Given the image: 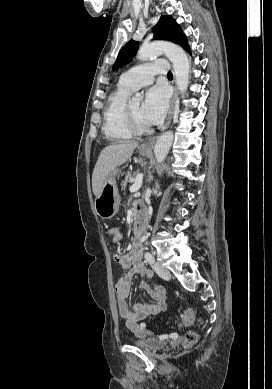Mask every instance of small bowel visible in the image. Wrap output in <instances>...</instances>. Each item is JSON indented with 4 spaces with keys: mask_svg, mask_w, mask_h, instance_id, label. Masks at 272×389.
<instances>
[{
    "mask_svg": "<svg viewBox=\"0 0 272 389\" xmlns=\"http://www.w3.org/2000/svg\"><path fill=\"white\" fill-rule=\"evenodd\" d=\"M142 210L141 206L135 205V212ZM115 261L124 269L129 271L120 277L115 284V293L119 313L125 322L126 327L135 335L142 337L148 334L149 329L144 320L149 315H156L166 308V290L163 285L155 283L150 284L147 280L153 278V273L144 265L142 258V247L139 241H135L132 249L127 254H116ZM140 275L144 278L141 281V288L146 290L155 304L150 305L138 301L132 308L127 305V299L130 294L131 281L134 275Z\"/></svg>",
    "mask_w": 272,
    "mask_h": 389,
    "instance_id": "1",
    "label": "small bowel"
}]
</instances>
